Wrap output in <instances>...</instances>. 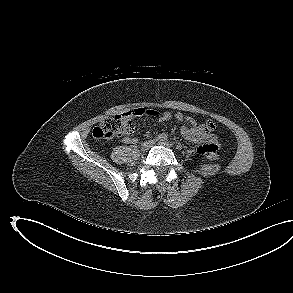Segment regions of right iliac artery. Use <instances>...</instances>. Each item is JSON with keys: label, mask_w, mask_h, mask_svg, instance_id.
Here are the masks:
<instances>
[{"label": "right iliac artery", "mask_w": 293, "mask_h": 293, "mask_svg": "<svg viewBox=\"0 0 293 293\" xmlns=\"http://www.w3.org/2000/svg\"><path fill=\"white\" fill-rule=\"evenodd\" d=\"M167 138H168L167 134L162 133L156 137V140L165 141V140H167Z\"/></svg>", "instance_id": "obj_1"}]
</instances>
